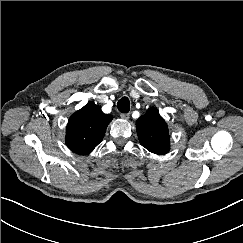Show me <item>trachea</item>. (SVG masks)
Wrapping results in <instances>:
<instances>
[{"instance_id": "obj_1", "label": "trachea", "mask_w": 243, "mask_h": 243, "mask_svg": "<svg viewBox=\"0 0 243 243\" xmlns=\"http://www.w3.org/2000/svg\"><path fill=\"white\" fill-rule=\"evenodd\" d=\"M117 108L122 113H128L130 110V102L127 97H123L118 101Z\"/></svg>"}]
</instances>
